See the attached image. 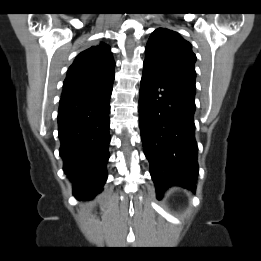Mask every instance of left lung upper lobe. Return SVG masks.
Wrapping results in <instances>:
<instances>
[{"label":"left lung upper lobe","instance_id":"1","mask_svg":"<svg viewBox=\"0 0 261 261\" xmlns=\"http://www.w3.org/2000/svg\"><path fill=\"white\" fill-rule=\"evenodd\" d=\"M195 62L191 44L177 32L158 28L151 34L145 49L144 65L195 86Z\"/></svg>","mask_w":261,"mask_h":261}]
</instances>
